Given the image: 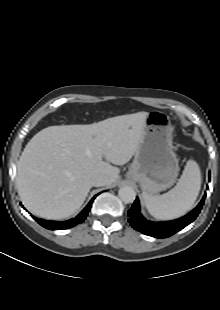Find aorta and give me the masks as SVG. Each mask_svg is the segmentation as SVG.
<instances>
[{"instance_id": "obj_1", "label": "aorta", "mask_w": 220, "mask_h": 310, "mask_svg": "<svg viewBox=\"0 0 220 310\" xmlns=\"http://www.w3.org/2000/svg\"><path fill=\"white\" fill-rule=\"evenodd\" d=\"M118 195L124 203L128 204L135 200L136 192L132 187L124 186L119 189Z\"/></svg>"}]
</instances>
